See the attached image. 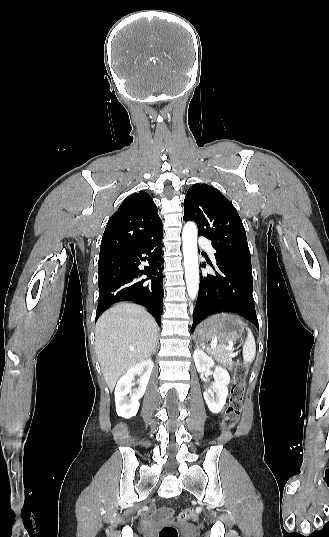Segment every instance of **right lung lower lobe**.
<instances>
[{"mask_svg": "<svg viewBox=\"0 0 329 537\" xmlns=\"http://www.w3.org/2000/svg\"><path fill=\"white\" fill-rule=\"evenodd\" d=\"M162 234L128 251L99 256L95 320L110 305L131 300L148 307L160 325L164 297ZM142 262L149 266L140 268Z\"/></svg>", "mask_w": 329, "mask_h": 537, "instance_id": "right-lung-lower-lobe-1", "label": "right lung lower lobe"}]
</instances>
